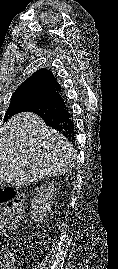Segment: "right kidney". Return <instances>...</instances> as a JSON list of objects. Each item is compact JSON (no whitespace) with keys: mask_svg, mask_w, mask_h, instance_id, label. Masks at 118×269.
I'll return each mask as SVG.
<instances>
[{"mask_svg":"<svg viewBox=\"0 0 118 269\" xmlns=\"http://www.w3.org/2000/svg\"><path fill=\"white\" fill-rule=\"evenodd\" d=\"M55 191L53 181L36 188V194L31 200V218L34 222H42L51 212Z\"/></svg>","mask_w":118,"mask_h":269,"instance_id":"ca27d5eb","label":"right kidney"}]
</instances>
